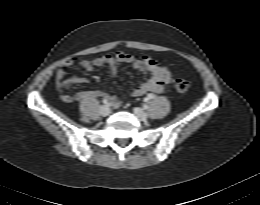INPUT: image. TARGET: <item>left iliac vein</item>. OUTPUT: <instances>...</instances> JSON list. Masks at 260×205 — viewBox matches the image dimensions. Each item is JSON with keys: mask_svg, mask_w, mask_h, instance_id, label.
<instances>
[{"mask_svg": "<svg viewBox=\"0 0 260 205\" xmlns=\"http://www.w3.org/2000/svg\"><path fill=\"white\" fill-rule=\"evenodd\" d=\"M133 111H134V114L139 118V120H141V121H146L147 120L148 115L142 108L135 107L133 109Z\"/></svg>", "mask_w": 260, "mask_h": 205, "instance_id": "4c4485c4", "label": "left iliac vein"}]
</instances>
